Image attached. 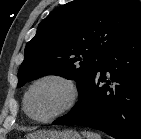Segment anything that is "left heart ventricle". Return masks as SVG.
Segmentation results:
<instances>
[{
  "instance_id": "left-heart-ventricle-1",
  "label": "left heart ventricle",
  "mask_w": 141,
  "mask_h": 139,
  "mask_svg": "<svg viewBox=\"0 0 141 139\" xmlns=\"http://www.w3.org/2000/svg\"><path fill=\"white\" fill-rule=\"evenodd\" d=\"M68 90L58 81L38 84L29 96L30 113L37 118H46L60 110L68 100Z\"/></svg>"
}]
</instances>
